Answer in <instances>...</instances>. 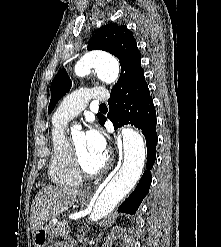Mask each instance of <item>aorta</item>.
I'll return each instance as SVG.
<instances>
[{
  "mask_svg": "<svg viewBox=\"0 0 221 247\" xmlns=\"http://www.w3.org/2000/svg\"><path fill=\"white\" fill-rule=\"evenodd\" d=\"M93 68L98 76L107 83L114 82L119 75L118 61L104 52H91L75 66L80 76ZM124 159L121 167L98 196L91 221H97L109 214L119 202L134 188L141 177L145 161L143 137L134 129H122Z\"/></svg>",
  "mask_w": 221,
  "mask_h": 247,
  "instance_id": "aorta-1",
  "label": "aorta"
}]
</instances>
